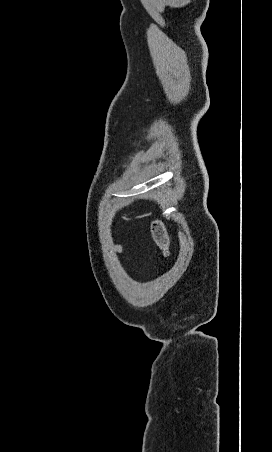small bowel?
Here are the masks:
<instances>
[{
  "instance_id": "c3829d8e",
  "label": "small bowel",
  "mask_w": 272,
  "mask_h": 452,
  "mask_svg": "<svg viewBox=\"0 0 272 452\" xmlns=\"http://www.w3.org/2000/svg\"><path fill=\"white\" fill-rule=\"evenodd\" d=\"M115 250H116V252H118V253H122V252H123V247H122L121 245H117V246L115 247Z\"/></svg>"
}]
</instances>
